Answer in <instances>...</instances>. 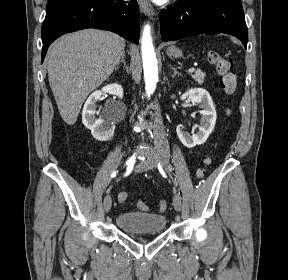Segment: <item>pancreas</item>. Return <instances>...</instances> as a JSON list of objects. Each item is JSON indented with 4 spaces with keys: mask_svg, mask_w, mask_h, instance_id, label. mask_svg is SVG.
Listing matches in <instances>:
<instances>
[{
    "mask_svg": "<svg viewBox=\"0 0 288 280\" xmlns=\"http://www.w3.org/2000/svg\"><path fill=\"white\" fill-rule=\"evenodd\" d=\"M192 78L199 84H202L204 82L205 73L201 70L196 71L194 74L191 75Z\"/></svg>",
    "mask_w": 288,
    "mask_h": 280,
    "instance_id": "obj_1",
    "label": "pancreas"
}]
</instances>
